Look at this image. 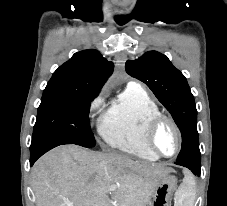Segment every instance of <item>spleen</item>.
<instances>
[{"label":"spleen","instance_id":"3e777b00","mask_svg":"<svg viewBox=\"0 0 227 206\" xmlns=\"http://www.w3.org/2000/svg\"><path fill=\"white\" fill-rule=\"evenodd\" d=\"M194 200V181L192 178L186 177L175 194V206H193Z\"/></svg>","mask_w":227,"mask_h":206}]
</instances>
